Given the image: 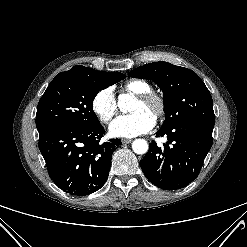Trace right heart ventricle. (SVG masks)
<instances>
[{
	"label": "right heart ventricle",
	"mask_w": 247,
	"mask_h": 247,
	"mask_svg": "<svg viewBox=\"0 0 247 247\" xmlns=\"http://www.w3.org/2000/svg\"><path fill=\"white\" fill-rule=\"evenodd\" d=\"M122 90L134 95H139L151 91V86L143 80L132 79L123 84Z\"/></svg>",
	"instance_id": "1"
}]
</instances>
